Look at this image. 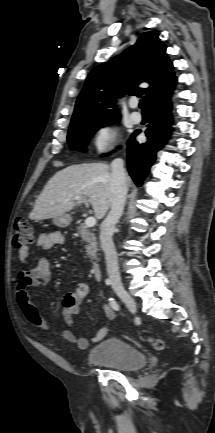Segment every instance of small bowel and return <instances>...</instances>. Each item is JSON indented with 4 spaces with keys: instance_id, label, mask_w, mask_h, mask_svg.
<instances>
[{
    "instance_id": "1",
    "label": "small bowel",
    "mask_w": 215,
    "mask_h": 433,
    "mask_svg": "<svg viewBox=\"0 0 215 433\" xmlns=\"http://www.w3.org/2000/svg\"><path fill=\"white\" fill-rule=\"evenodd\" d=\"M64 241L65 237L60 231L43 232L39 234L36 245L42 250H50L55 245L63 244ZM30 254L29 247H23L19 250V258L21 260H27ZM51 277V263L47 257L40 258L33 267L22 269L17 275L15 290L17 304L26 320L31 325L43 330H48L50 326L30 301L28 289L30 287L46 286L50 282ZM87 295L88 284L86 282L77 283L73 291L67 292L64 295L62 300L64 306L62 317L68 325L73 326L74 318L80 313V305ZM102 310L106 319L105 324L91 339L77 336L73 331L64 328H58L55 330V334L61 339L75 344L81 350L86 349L90 342H99L106 336L108 333V323L115 316L113 309L108 304H104Z\"/></svg>"
}]
</instances>
